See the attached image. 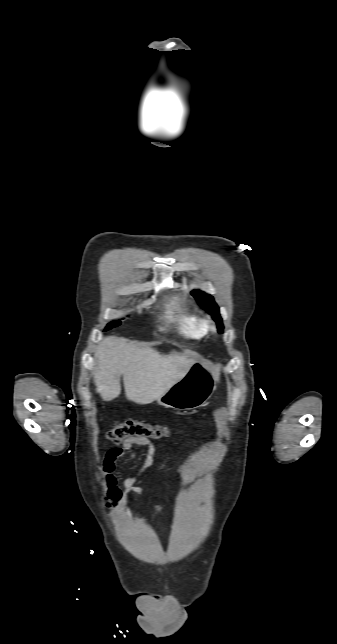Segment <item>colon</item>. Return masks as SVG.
<instances>
[{"label":"colon","instance_id":"1","mask_svg":"<svg viewBox=\"0 0 337 644\" xmlns=\"http://www.w3.org/2000/svg\"><path fill=\"white\" fill-rule=\"evenodd\" d=\"M167 434L168 429L165 426L128 420L114 426L108 436L113 443L120 444L129 438L158 439Z\"/></svg>","mask_w":337,"mask_h":644}]
</instances>
